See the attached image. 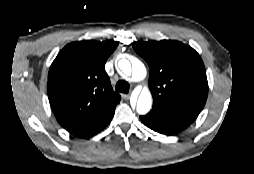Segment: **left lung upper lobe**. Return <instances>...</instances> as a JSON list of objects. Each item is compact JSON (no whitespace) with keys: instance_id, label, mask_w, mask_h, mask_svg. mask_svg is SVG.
<instances>
[{"instance_id":"left-lung-upper-lobe-1","label":"left lung upper lobe","mask_w":254,"mask_h":174,"mask_svg":"<svg viewBox=\"0 0 254 174\" xmlns=\"http://www.w3.org/2000/svg\"><path fill=\"white\" fill-rule=\"evenodd\" d=\"M150 69L153 104L198 116L208 95L203 61L190 46L178 41L133 43Z\"/></svg>"}]
</instances>
